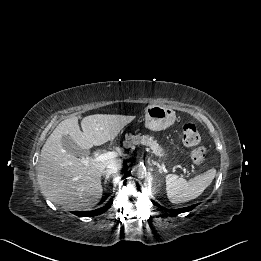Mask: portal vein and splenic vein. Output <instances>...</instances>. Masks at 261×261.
Listing matches in <instances>:
<instances>
[{
    "instance_id": "1",
    "label": "portal vein and splenic vein",
    "mask_w": 261,
    "mask_h": 261,
    "mask_svg": "<svg viewBox=\"0 0 261 261\" xmlns=\"http://www.w3.org/2000/svg\"><path fill=\"white\" fill-rule=\"evenodd\" d=\"M118 155H119V153L116 151H109V152L99 154L95 158H85L82 160V162L87 166L90 162L106 161V160L114 159V158L118 157ZM183 172H184V175H182V176L185 177L186 170L183 169Z\"/></svg>"
}]
</instances>
